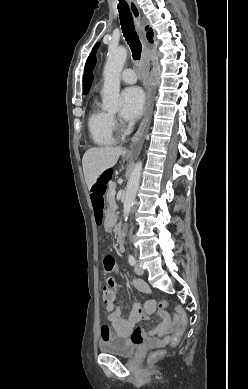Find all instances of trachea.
<instances>
[{"label": "trachea", "instance_id": "obj_1", "mask_svg": "<svg viewBox=\"0 0 248 389\" xmlns=\"http://www.w3.org/2000/svg\"><path fill=\"white\" fill-rule=\"evenodd\" d=\"M118 11L122 33L131 49L132 57L134 60H140L142 51L141 42L135 31L132 13L126 1L120 0Z\"/></svg>", "mask_w": 248, "mask_h": 389}]
</instances>
